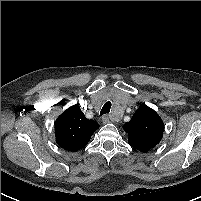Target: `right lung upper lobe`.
<instances>
[{"label": "right lung upper lobe", "instance_id": "1", "mask_svg": "<svg viewBox=\"0 0 201 201\" xmlns=\"http://www.w3.org/2000/svg\"><path fill=\"white\" fill-rule=\"evenodd\" d=\"M98 128L97 122L88 120L79 106L73 105L55 122L56 142L68 151H78L87 145Z\"/></svg>", "mask_w": 201, "mask_h": 201}]
</instances>
